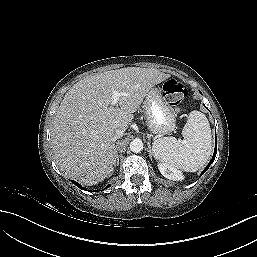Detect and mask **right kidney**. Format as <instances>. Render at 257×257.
Masks as SVG:
<instances>
[{
	"instance_id": "ca27d5eb",
	"label": "right kidney",
	"mask_w": 257,
	"mask_h": 257,
	"mask_svg": "<svg viewBox=\"0 0 257 257\" xmlns=\"http://www.w3.org/2000/svg\"><path fill=\"white\" fill-rule=\"evenodd\" d=\"M112 171H113V167H110L107 176H110V174L112 173ZM107 176H106V177H107Z\"/></svg>"
}]
</instances>
